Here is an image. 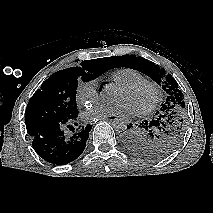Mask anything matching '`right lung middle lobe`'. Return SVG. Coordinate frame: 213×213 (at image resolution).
<instances>
[{
  "label": "right lung middle lobe",
  "instance_id": "dd1d6c3e",
  "mask_svg": "<svg viewBox=\"0 0 213 213\" xmlns=\"http://www.w3.org/2000/svg\"><path fill=\"white\" fill-rule=\"evenodd\" d=\"M110 66L98 59L81 62L52 74L30 98L26 108V129L32 135L43 126L71 119L78 114L76 90L78 80L91 81Z\"/></svg>",
  "mask_w": 213,
  "mask_h": 213
}]
</instances>
